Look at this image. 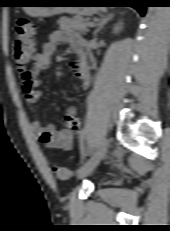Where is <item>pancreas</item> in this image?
<instances>
[{"label": "pancreas", "mask_w": 170, "mask_h": 231, "mask_svg": "<svg viewBox=\"0 0 170 231\" xmlns=\"http://www.w3.org/2000/svg\"><path fill=\"white\" fill-rule=\"evenodd\" d=\"M89 20L83 19L80 17L76 18H68V17H60L58 20V24L61 29L70 30V31H78L81 33H85L88 31Z\"/></svg>", "instance_id": "cf45deb5"}]
</instances>
